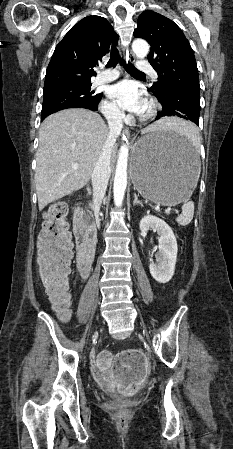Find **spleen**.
<instances>
[{"mask_svg": "<svg viewBox=\"0 0 233 449\" xmlns=\"http://www.w3.org/2000/svg\"><path fill=\"white\" fill-rule=\"evenodd\" d=\"M172 133H181L186 142H193L195 146L198 145L200 135L197 133L194 125H175ZM199 176V173H198ZM194 216V203L192 201L186 202L182 206V213L176 218V221L181 226L188 225Z\"/></svg>", "mask_w": 233, "mask_h": 449, "instance_id": "3e777b00", "label": "spleen"}]
</instances>
